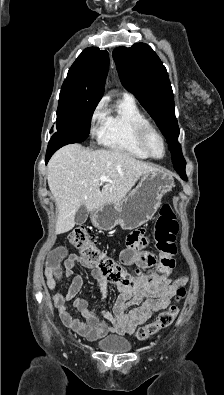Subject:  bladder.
<instances>
[{
  "label": "bladder",
  "instance_id": "31cf9c89",
  "mask_svg": "<svg viewBox=\"0 0 224 395\" xmlns=\"http://www.w3.org/2000/svg\"><path fill=\"white\" fill-rule=\"evenodd\" d=\"M97 347L103 352L123 354L131 350L132 346L127 338L109 336L97 343Z\"/></svg>",
  "mask_w": 224,
  "mask_h": 395
}]
</instances>
